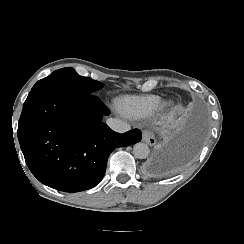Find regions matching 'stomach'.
<instances>
[{
  "label": "stomach",
  "instance_id": "obj_1",
  "mask_svg": "<svg viewBox=\"0 0 244 244\" xmlns=\"http://www.w3.org/2000/svg\"><path fill=\"white\" fill-rule=\"evenodd\" d=\"M175 119V113H174V110H171L168 114H167V117L165 119L166 123L167 124H170L174 121Z\"/></svg>",
  "mask_w": 244,
  "mask_h": 244
}]
</instances>
